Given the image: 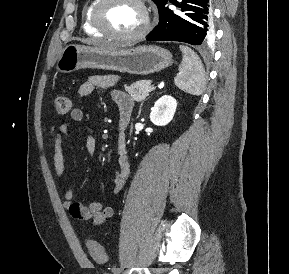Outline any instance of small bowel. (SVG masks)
<instances>
[{
	"label": "small bowel",
	"mask_w": 289,
	"mask_h": 274,
	"mask_svg": "<svg viewBox=\"0 0 289 274\" xmlns=\"http://www.w3.org/2000/svg\"><path fill=\"white\" fill-rule=\"evenodd\" d=\"M117 78L114 76L97 75L89 77L83 82L79 89L78 95L85 98L97 89L112 88L116 84ZM112 98L115 101L119 114L128 112L130 115L133 110V100L126 93L114 90ZM71 119L81 121L84 118V113L80 108H74L70 113ZM69 124L63 123L56 134L54 140V155L53 163L57 177H61L65 170V156L63 153V143L65 141ZM85 149L89 155H94L97 150V141L94 136L89 135L85 141ZM117 149L119 153V168L114 169L115 175L113 194L120 195L123 192L126 180L130 174V164L127 157L125 133H119L117 141ZM64 207L71 215L79 220L91 221L93 226H99L107 219L114 215V209L111 206H103L99 202L83 204L74 201V194L71 189H66L63 192Z\"/></svg>",
	"instance_id": "c3829d8e"
}]
</instances>
